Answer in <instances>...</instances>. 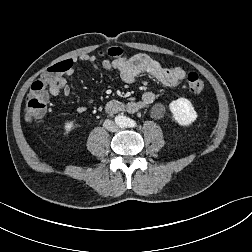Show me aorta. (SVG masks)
<instances>
[{
	"label": "aorta",
	"instance_id": "1",
	"mask_svg": "<svg viewBox=\"0 0 252 252\" xmlns=\"http://www.w3.org/2000/svg\"><path fill=\"white\" fill-rule=\"evenodd\" d=\"M115 120L119 127L123 128L128 125V118L123 115L116 116Z\"/></svg>",
	"mask_w": 252,
	"mask_h": 252
}]
</instances>
